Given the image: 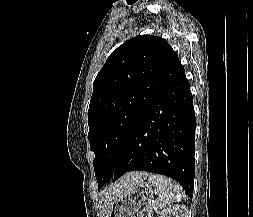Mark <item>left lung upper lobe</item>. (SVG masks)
<instances>
[{"label": "left lung upper lobe", "instance_id": "1", "mask_svg": "<svg viewBox=\"0 0 253 217\" xmlns=\"http://www.w3.org/2000/svg\"><path fill=\"white\" fill-rule=\"evenodd\" d=\"M183 69L167 41L150 35L130 39L108 57L94 80L88 110L99 188L112 178L134 121Z\"/></svg>", "mask_w": 253, "mask_h": 217}]
</instances>
